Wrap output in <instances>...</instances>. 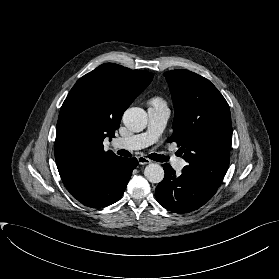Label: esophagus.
Here are the masks:
<instances>
[{
  "mask_svg": "<svg viewBox=\"0 0 279 279\" xmlns=\"http://www.w3.org/2000/svg\"><path fill=\"white\" fill-rule=\"evenodd\" d=\"M137 160H138L139 164H141V165H146V164L151 163V161L148 158L143 157V156H139L137 158Z\"/></svg>",
  "mask_w": 279,
  "mask_h": 279,
  "instance_id": "1",
  "label": "esophagus"
}]
</instances>
